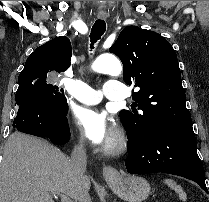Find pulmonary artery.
Returning a JSON list of instances; mask_svg holds the SVG:
<instances>
[{
	"instance_id": "e3ab8cb5",
	"label": "pulmonary artery",
	"mask_w": 209,
	"mask_h": 202,
	"mask_svg": "<svg viewBox=\"0 0 209 202\" xmlns=\"http://www.w3.org/2000/svg\"><path fill=\"white\" fill-rule=\"evenodd\" d=\"M62 83L65 87H67L70 94L82 103L97 104L101 101V92L99 90H95L94 88L80 80H76L74 83H70L67 81H63ZM105 86V95L108 99L121 101L126 98L125 89L120 84L118 79H106Z\"/></svg>"
}]
</instances>
